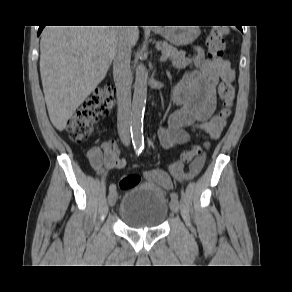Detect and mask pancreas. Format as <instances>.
Here are the masks:
<instances>
[{"label": "pancreas", "mask_w": 292, "mask_h": 292, "mask_svg": "<svg viewBox=\"0 0 292 292\" xmlns=\"http://www.w3.org/2000/svg\"><path fill=\"white\" fill-rule=\"evenodd\" d=\"M157 49L161 50L162 55L169 57L172 61H180L185 58V51H178L177 48L167 42L159 41L156 43Z\"/></svg>", "instance_id": "1"}]
</instances>
